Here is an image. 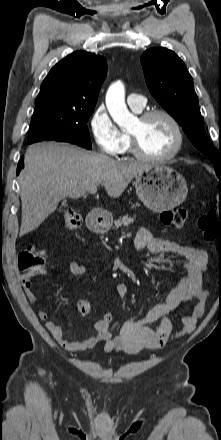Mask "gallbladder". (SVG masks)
<instances>
[{
    "mask_svg": "<svg viewBox=\"0 0 221 440\" xmlns=\"http://www.w3.org/2000/svg\"><path fill=\"white\" fill-rule=\"evenodd\" d=\"M62 205H66V200H63Z\"/></svg>",
    "mask_w": 221,
    "mask_h": 440,
    "instance_id": "gallbladder-1",
    "label": "gallbladder"
}]
</instances>
